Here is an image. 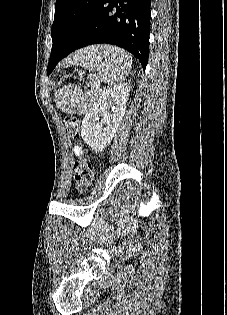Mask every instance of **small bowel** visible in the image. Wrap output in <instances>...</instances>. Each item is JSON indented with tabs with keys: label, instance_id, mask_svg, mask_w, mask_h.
Listing matches in <instances>:
<instances>
[{
	"label": "small bowel",
	"instance_id": "small-bowel-1",
	"mask_svg": "<svg viewBox=\"0 0 227 315\" xmlns=\"http://www.w3.org/2000/svg\"><path fill=\"white\" fill-rule=\"evenodd\" d=\"M73 152H74V155H75L76 157L82 155V150H81V148L78 147V146H75V147H74Z\"/></svg>",
	"mask_w": 227,
	"mask_h": 315
}]
</instances>
